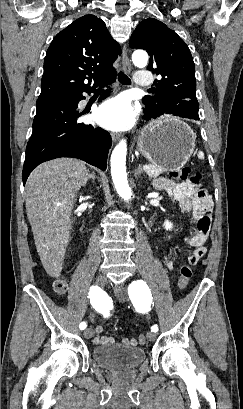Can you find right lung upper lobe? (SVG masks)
I'll use <instances>...</instances> for the list:
<instances>
[{
  "label": "right lung upper lobe",
  "instance_id": "obj_1",
  "mask_svg": "<svg viewBox=\"0 0 243 409\" xmlns=\"http://www.w3.org/2000/svg\"><path fill=\"white\" fill-rule=\"evenodd\" d=\"M120 53L101 19L94 15L77 19L55 36L47 50L38 99L94 89L115 76L112 64ZM92 79L95 84L90 87Z\"/></svg>",
  "mask_w": 243,
  "mask_h": 409
}]
</instances>
